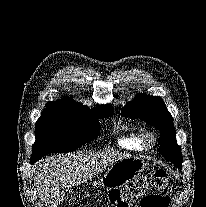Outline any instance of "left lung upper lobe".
I'll return each instance as SVG.
<instances>
[{
    "instance_id": "left-lung-upper-lobe-1",
    "label": "left lung upper lobe",
    "mask_w": 206,
    "mask_h": 207,
    "mask_svg": "<svg viewBox=\"0 0 206 207\" xmlns=\"http://www.w3.org/2000/svg\"><path fill=\"white\" fill-rule=\"evenodd\" d=\"M121 115L142 119L157 128L161 133L159 152L181 168L182 152L176 142L173 119L160 97L138 94L123 107Z\"/></svg>"
}]
</instances>
